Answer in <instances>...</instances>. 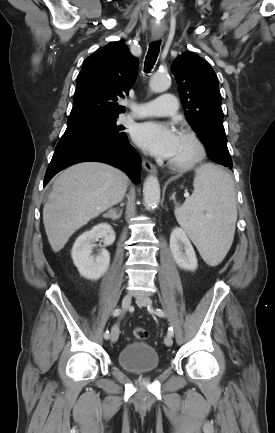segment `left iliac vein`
I'll return each instance as SVG.
<instances>
[{"label":"left iliac vein","mask_w":275,"mask_h":433,"mask_svg":"<svg viewBox=\"0 0 275 433\" xmlns=\"http://www.w3.org/2000/svg\"><path fill=\"white\" fill-rule=\"evenodd\" d=\"M137 304L140 306L148 307L152 304V300L149 297L142 296L137 299ZM166 346L170 347L173 344V339L171 335H167L164 339Z\"/></svg>","instance_id":"4c4485c4"}]
</instances>
